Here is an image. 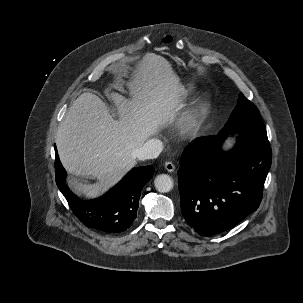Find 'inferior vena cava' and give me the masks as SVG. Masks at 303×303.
Returning a JSON list of instances; mask_svg holds the SVG:
<instances>
[{
    "label": "inferior vena cava",
    "instance_id": "1",
    "mask_svg": "<svg viewBox=\"0 0 303 303\" xmlns=\"http://www.w3.org/2000/svg\"><path fill=\"white\" fill-rule=\"evenodd\" d=\"M162 150L163 143L159 139H150L134 152V157L139 160L154 159L159 156Z\"/></svg>",
    "mask_w": 303,
    "mask_h": 303
}]
</instances>
